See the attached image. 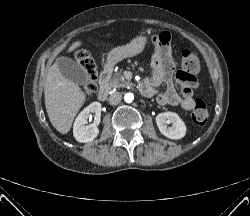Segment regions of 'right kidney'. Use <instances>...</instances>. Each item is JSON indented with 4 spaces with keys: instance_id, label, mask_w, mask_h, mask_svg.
<instances>
[{
    "instance_id": "obj_1",
    "label": "right kidney",
    "mask_w": 250,
    "mask_h": 216,
    "mask_svg": "<svg viewBox=\"0 0 250 216\" xmlns=\"http://www.w3.org/2000/svg\"><path fill=\"white\" fill-rule=\"evenodd\" d=\"M101 107L99 102H93L77 116L73 126V135L78 142H91L98 136L97 125L100 123ZM92 113H95L94 123L85 125Z\"/></svg>"
}]
</instances>
